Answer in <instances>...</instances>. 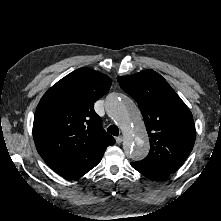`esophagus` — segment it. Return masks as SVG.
I'll use <instances>...</instances> for the list:
<instances>
[{
  "mask_svg": "<svg viewBox=\"0 0 221 221\" xmlns=\"http://www.w3.org/2000/svg\"><path fill=\"white\" fill-rule=\"evenodd\" d=\"M122 141H123V137H122V136H118V137L116 138V143H117V144H121Z\"/></svg>",
  "mask_w": 221,
  "mask_h": 221,
  "instance_id": "obj_1",
  "label": "esophagus"
}]
</instances>
